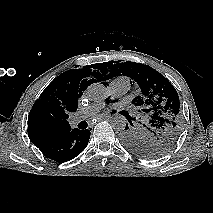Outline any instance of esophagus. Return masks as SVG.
Wrapping results in <instances>:
<instances>
[{
	"label": "esophagus",
	"instance_id": "esophagus-1",
	"mask_svg": "<svg viewBox=\"0 0 213 213\" xmlns=\"http://www.w3.org/2000/svg\"><path fill=\"white\" fill-rule=\"evenodd\" d=\"M110 117H111L110 115H101V116H98L96 119L102 120V119H106V118H110Z\"/></svg>",
	"mask_w": 213,
	"mask_h": 213
}]
</instances>
